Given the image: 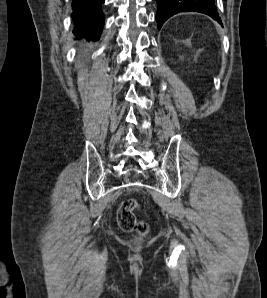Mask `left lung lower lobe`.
Here are the masks:
<instances>
[{"label": "left lung lower lobe", "mask_w": 267, "mask_h": 298, "mask_svg": "<svg viewBox=\"0 0 267 298\" xmlns=\"http://www.w3.org/2000/svg\"><path fill=\"white\" fill-rule=\"evenodd\" d=\"M158 11L156 21L160 30L162 24L179 12H201L209 15L221 24L214 0H156Z\"/></svg>", "instance_id": "left-lung-lower-lobe-1"}]
</instances>
